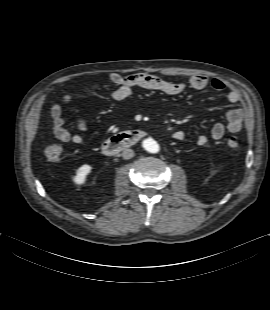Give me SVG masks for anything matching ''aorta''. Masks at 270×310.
Wrapping results in <instances>:
<instances>
[{"mask_svg":"<svg viewBox=\"0 0 270 310\" xmlns=\"http://www.w3.org/2000/svg\"><path fill=\"white\" fill-rule=\"evenodd\" d=\"M143 147L150 153H158L160 150L159 144L150 138L143 141Z\"/></svg>","mask_w":270,"mask_h":310,"instance_id":"aorta-1","label":"aorta"}]
</instances>
